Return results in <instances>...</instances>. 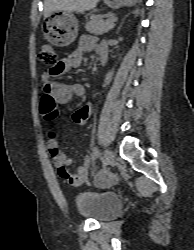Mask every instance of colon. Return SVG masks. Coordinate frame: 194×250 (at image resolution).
Instances as JSON below:
<instances>
[{"label": "colon", "mask_w": 194, "mask_h": 250, "mask_svg": "<svg viewBox=\"0 0 194 250\" xmlns=\"http://www.w3.org/2000/svg\"><path fill=\"white\" fill-rule=\"evenodd\" d=\"M39 59L43 64L54 66L57 64V54L54 47L50 44H44L39 51ZM41 112L45 120H53L57 116V102L50 93H44L41 97ZM67 175L64 169L60 170Z\"/></svg>", "instance_id": "1"}]
</instances>
